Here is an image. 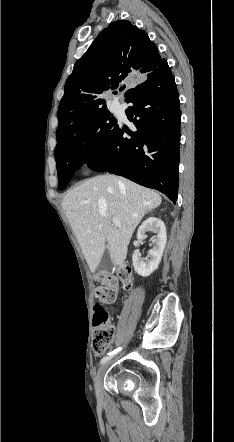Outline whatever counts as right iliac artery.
I'll return each instance as SVG.
<instances>
[{
    "instance_id": "1",
    "label": "right iliac artery",
    "mask_w": 234,
    "mask_h": 442,
    "mask_svg": "<svg viewBox=\"0 0 234 442\" xmlns=\"http://www.w3.org/2000/svg\"><path fill=\"white\" fill-rule=\"evenodd\" d=\"M121 350V347L115 349L114 351L108 353L107 356H105L104 358L101 359L100 363L104 364L106 363L108 360H110L115 354H117L119 351Z\"/></svg>"
}]
</instances>
